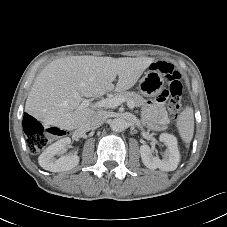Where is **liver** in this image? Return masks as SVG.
Masks as SVG:
<instances>
[{"mask_svg":"<svg viewBox=\"0 0 227 227\" xmlns=\"http://www.w3.org/2000/svg\"><path fill=\"white\" fill-rule=\"evenodd\" d=\"M150 57L67 56L49 63L36 77L25 104V111L37 120L64 130L86 124L96 112L79 109L73 93L98 97L109 91L132 88L153 63ZM118 76L116 86L112 83Z\"/></svg>","mask_w":227,"mask_h":227,"instance_id":"1","label":"liver"}]
</instances>
